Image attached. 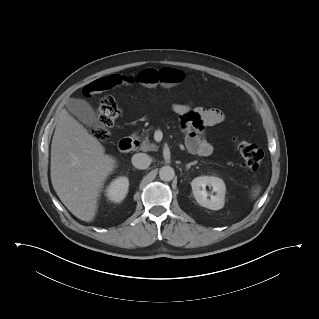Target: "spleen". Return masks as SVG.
<instances>
[{
	"label": "spleen",
	"instance_id": "1",
	"mask_svg": "<svg viewBox=\"0 0 319 319\" xmlns=\"http://www.w3.org/2000/svg\"><path fill=\"white\" fill-rule=\"evenodd\" d=\"M260 193V188L256 187L255 189H253V197L258 196V194Z\"/></svg>",
	"mask_w": 319,
	"mask_h": 319
}]
</instances>
